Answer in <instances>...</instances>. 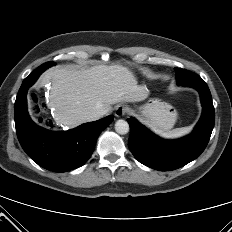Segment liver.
Wrapping results in <instances>:
<instances>
[{"instance_id": "liver-1", "label": "liver", "mask_w": 232, "mask_h": 232, "mask_svg": "<svg viewBox=\"0 0 232 232\" xmlns=\"http://www.w3.org/2000/svg\"><path fill=\"white\" fill-rule=\"evenodd\" d=\"M51 82L48 105L61 126L75 128L88 122L96 110L111 111L119 102H139L148 97L146 86L138 85L135 75L120 64L90 68L58 66L44 72L39 86Z\"/></svg>"}]
</instances>
